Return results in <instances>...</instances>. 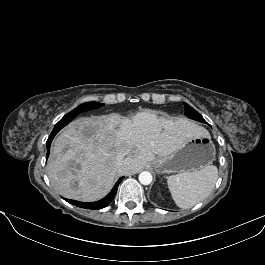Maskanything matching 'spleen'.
<instances>
[{
	"label": "spleen",
	"instance_id": "1",
	"mask_svg": "<svg viewBox=\"0 0 265 265\" xmlns=\"http://www.w3.org/2000/svg\"><path fill=\"white\" fill-rule=\"evenodd\" d=\"M217 178V167L208 165L197 171L171 175L167 179V184L176 205L187 209L210 194Z\"/></svg>",
	"mask_w": 265,
	"mask_h": 265
}]
</instances>
